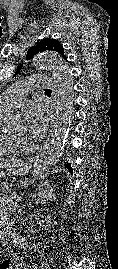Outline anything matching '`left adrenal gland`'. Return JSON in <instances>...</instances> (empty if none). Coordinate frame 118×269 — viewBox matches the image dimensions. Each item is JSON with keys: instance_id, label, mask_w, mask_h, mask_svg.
<instances>
[{"instance_id": "obj_1", "label": "left adrenal gland", "mask_w": 118, "mask_h": 269, "mask_svg": "<svg viewBox=\"0 0 118 269\" xmlns=\"http://www.w3.org/2000/svg\"><path fill=\"white\" fill-rule=\"evenodd\" d=\"M29 185L28 181L23 182V187L26 188Z\"/></svg>"}]
</instances>
